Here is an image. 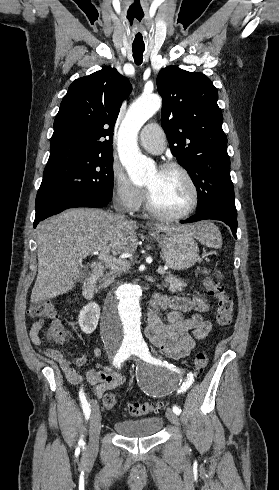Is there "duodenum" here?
I'll list each match as a JSON object with an SVG mask.
<instances>
[{
	"label": "duodenum",
	"mask_w": 279,
	"mask_h": 490,
	"mask_svg": "<svg viewBox=\"0 0 279 490\" xmlns=\"http://www.w3.org/2000/svg\"><path fill=\"white\" fill-rule=\"evenodd\" d=\"M103 266L102 264L95 262L92 264V272L85 280L83 284V296L85 299L91 301L95 297L97 283L100 277L103 275Z\"/></svg>",
	"instance_id": "1"
}]
</instances>
